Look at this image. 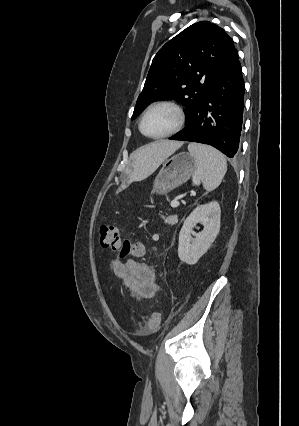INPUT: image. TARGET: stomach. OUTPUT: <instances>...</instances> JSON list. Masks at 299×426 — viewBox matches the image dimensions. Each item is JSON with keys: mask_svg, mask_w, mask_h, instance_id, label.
<instances>
[{"mask_svg": "<svg viewBox=\"0 0 299 426\" xmlns=\"http://www.w3.org/2000/svg\"><path fill=\"white\" fill-rule=\"evenodd\" d=\"M197 170L196 159L189 153H179L167 159L157 175L153 193L166 194L186 182Z\"/></svg>", "mask_w": 299, "mask_h": 426, "instance_id": "obj_1", "label": "stomach"}]
</instances>
